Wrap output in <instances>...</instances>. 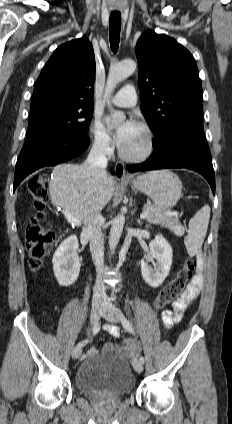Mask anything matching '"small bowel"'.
Returning a JSON list of instances; mask_svg holds the SVG:
<instances>
[{
	"mask_svg": "<svg viewBox=\"0 0 232 424\" xmlns=\"http://www.w3.org/2000/svg\"><path fill=\"white\" fill-rule=\"evenodd\" d=\"M199 264L201 263L200 258L198 259ZM203 283V277L200 272H197L193 278V280L190 282L186 292L174 303V311L172 310H165L161 314V320L163 325L166 328H170L176 323L180 321L182 313L186 310L188 305L198 296L200 288ZM105 333L112 335V336H119V329L115 325L107 324L104 326ZM134 342V341H133ZM135 346L132 349H129L127 346H122L121 344H114L112 342H106L103 347L102 351L104 353H113V352H119L125 356L129 357H136L138 354V344L136 342ZM98 353V349L95 347H91L87 351V355L94 356Z\"/></svg>",
	"mask_w": 232,
	"mask_h": 424,
	"instance_id": "obj_1",
	"label": "small bowel"
}]
</instances>
